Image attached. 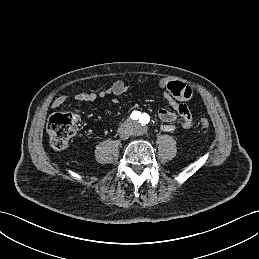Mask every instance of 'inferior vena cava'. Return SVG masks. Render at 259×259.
I'll use <instances>...</instances> for the list:
<instances>
[{"label": "inferior vena cava", "instance_id": "1", "mask_svg": "<svg viewBox=\"0 0 259 259\" xmlns=\"http://www.w3.org/2000/svg\"><path fill=\"white\" fill-rule=\"evenodd\" d=\"M128 137H129L128 134H121V138H123V139H127Z\"/></svg>", "mask_w": 259, "mask_h": 259}]
</instances>
